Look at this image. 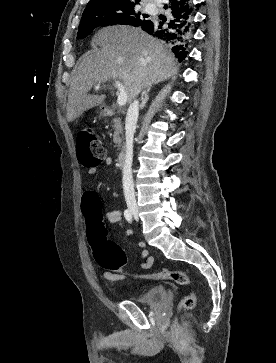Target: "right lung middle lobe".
Listing matches in <instances>:
<instances>
[{"instance_id":"obj_1","label":"right lung middle lobe","mask_w":276,"mask_h":363,"mask_svg":"<svg viewBox=\"0 0 276 363\" xmlns=\"http://www.w3.org/2000/svg\"><path fill=\"white\" fill-rule=\"evenodd\" d=\"M135 2L109 1L86 7L79 25L78 38H84L97 27L115 24L140 26L146 15L141 14Z\"/></svg>"}]
</instances>
